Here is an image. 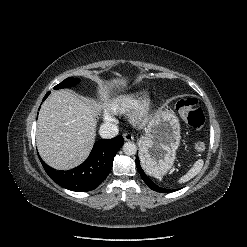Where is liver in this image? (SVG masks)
Instances as JSON below:
<instances>
[{
    "instance_id": "6515ba94",
    "label": "liver",
    "mask_w": 247,
    "mask_h": 247,
    "mask_svg": "<svg viewBox=\"0 0 247 247\" xmlns=\"http://www.w3.org/2000/svg\"><path fill=\"white\" fill-rule=\"evenodd\" d=\"M116 78L101 84L104 99L114 86H126ZM94 107L69 90L53 92L43 103L37 121V147L42 159L52 168L68 170L89 155L96 136Z\"/></svg>"
}]
</instances>
